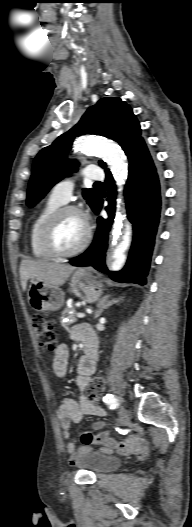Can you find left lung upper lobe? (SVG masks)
<instances>
[{"mask_svg":"<svg viewBox=\"0 0 192 527\" xmlns=\"http://www.w3.org/2000/svg\"><path fill=\"white\" fill-rule=\"evenodd\" d=\"M84 134L102 135L115 140L127 156L137 144L144 141L140 136L139 122L128 104L118 97L100 99L72 129L59 136L36 156L27 191L26 202L29 207L38 203L54 184L77 170L76 162L68 160L67 153L74 138ZM99 164L106 168L103 161H99ZM105 171L110 172L109 169ZM83 196L95 212L100 198L97 192L94 189H84Z\"/></svg>","mask_w":192,"mask_h":527,"instance_id":"obj_1","label":"left lung upper lobe"}]
</instances>
